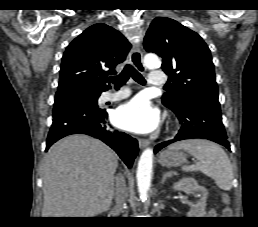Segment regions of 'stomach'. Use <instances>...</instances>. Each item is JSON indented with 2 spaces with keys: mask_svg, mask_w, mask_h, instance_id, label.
Instances as JSON below:
<instances>
[{
  "mask_svg": "<svg viewBox=\"0 0 258 227\" xmlns=\"http://www.w3.org/2000/svg\"><path fill=\"white\" fill-rule=\"evenodd\" d=\"M186 161V154L178 150H166L159 155V163L165 167L179 166Z\"/></svg>",
  "mask_w": 258,
  "mask_h": 227,
  "instance_id": "1",
  "label": "stomach"
}]
</instances>
